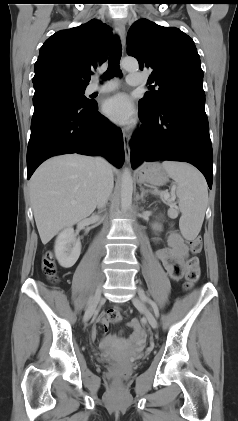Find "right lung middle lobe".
Instances as JSON below:
<instances>
[{
	"instance_id": "dd1d6c3e",
	"label": "right lung middle lobe",
	"mask_w": 238,
	"mask_h": 421,
	"mask_svg": "<svg viewBox=\"0 0 238 421\" xmlns=\"http://www.w3.org/2000/svg\"><path fill=\"white\" fill-rule=\"evenodd\" d=\"M42 87H52V88L58 89L60 91L66 92V93L73 94L79 100H81L82 102H84L86 104H89V103L92 102L84 96V91H85L86 87L53 83V84H46V85H42V86L34 87V88H35V90H37V89H40Z\"/></svg>"
}]
</instances>
